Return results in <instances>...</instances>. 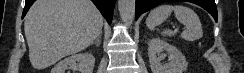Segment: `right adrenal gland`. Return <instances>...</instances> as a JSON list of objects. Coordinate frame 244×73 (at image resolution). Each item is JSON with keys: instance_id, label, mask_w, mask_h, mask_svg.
<instances>
[{"instance_id": "right-adrenal-gland-1", "label": "right adrenal gland", "mask_w": 244, "mask_h": 73, "mask_svg": "<svg viewBox=\"0 0 244 73\" xmlns=\"http://www.w3.org/2000/svg\"><path fill=\"white\" fill-rule=\"evenodd\" d=\"M101 34L95 39V41L92 44H96L97 47L101 44Z\"/></svg>"}]
</instances>
